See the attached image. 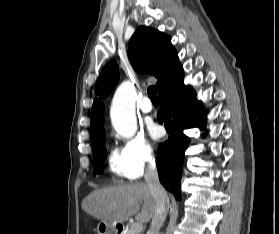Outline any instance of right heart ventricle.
<instances>
[{"label": "right heart ventricle", "instance_id": "obj_1", "mask_svg": "<svg viewBox=\"0 0 279 234\" xmlns=\"http://www.w3.org/2000/svg\"><path fill=\"white\" fill-rule=\"evenodd\" d=\"M109 167L111 172L118 178H130L127 161L122 151L112 149L109 154ZM131 179V178H130Z\"/></svg>", "mask_w": 279, "mask_h": 234}]
</instances>
